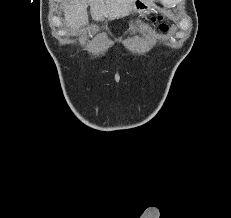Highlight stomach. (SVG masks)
I'll return each instance as SVG.
<instances>
[{
    "label": "stomach",
    "instance_id": "1",
    "mask_svg": "<svg viewBox=\"0 0 231 218\" xmlns=\"http://www.w3.org/2000/svg\"><path fill=\"white\" fill-rule=\"evenodd\" d=\"M151 10V4L147 0H134L132 5V12L144 14Z\"/></svg>",
    "mask_w": 231,
    "mask_h": 218
}]
</instances>
